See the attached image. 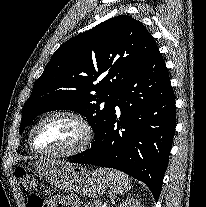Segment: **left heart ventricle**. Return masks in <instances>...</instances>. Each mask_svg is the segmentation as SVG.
Masks as SVG:
<instances>
[{
  "label": "left heart ventricle",
  "mask_w": 206,
  "mask_h": 207,
  "mask_svg": "<svg viewBox=\"0 0 206 207\" xmlns=\"http://www.w3.org/2000/svg\"><path fill=\"white\" fill-rule=\"evenodd\" d=\"M80 124L68 117L44 121L34 133V144L45 150L68 149L79 144L83 138Z\"/></svg>",
  "instance_id": "left-heart-ventricle-1"
}]
</instances>
